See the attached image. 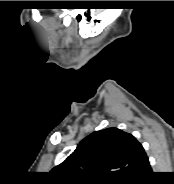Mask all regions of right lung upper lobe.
I'll use <instances>...</instances> for the list:
<instances>
[{
	"mask_svg": "<svg viewBox=\"0 0 174 184\" xmlns=\"http://www.w3.org/2000/svg\"><path fill=\"white\" fill-rule=\"evenodd\" d=\"M147 160L134 136L112 127L84 138L51 172L65 184H113L131 179Z\"/></svg>",
	"mask_w": 174,
	"mask_h": 184,
	"instance_id": "right-lung-upper-lobe-1",
	"label": "right lung upper lobe"
}]
</instances>
